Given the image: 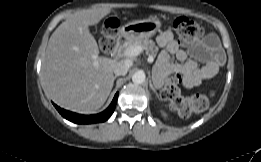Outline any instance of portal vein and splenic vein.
<instances>
[{"instance_id":"obj_1","label":"portal vein and splenic vein","mask_w":261,"mask_h":162,"mask_svg":"<svg viewBox=\"0 0 261 162\" xmlns=\"http://www.w3.org/2000/svg\"><path fill=\"white\" fill-rule=\"evenodd\" d=\"M143 50L144 49L141 46H130L124 50L123 55L125 57H134V56H138L140 53H142ZM153 61H154V56L149 55L148 62L152 63Z\"/></svg>"}]
</instances>
